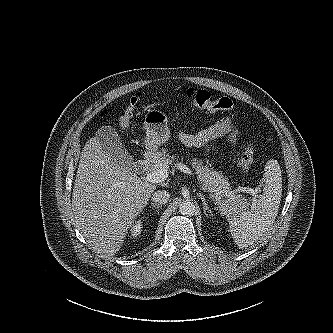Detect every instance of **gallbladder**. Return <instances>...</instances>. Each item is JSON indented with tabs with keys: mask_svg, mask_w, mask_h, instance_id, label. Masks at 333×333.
<instances>
[{
	"mask_svg": "<svg viewBox=\"0 0 333 333\" xmlns=\"http://www.w3.org/2000/svg\"><path fill=\"white\" fill-rule=\"evenodd\" d=\"M96 137H98L106 155L128 170L135 171L136 163L122 144L120 137L113 127L105 126L100 128L96 133Z\"/></svg>",
	"mask_w": 333,
	"mask_h": 333,
	"instance_id": "1",
	"label": "gallbladder"
}]
</instances>
